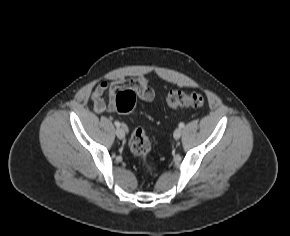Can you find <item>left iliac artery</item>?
<instances>
[{"mask_svg":"<svg viewBox=\"0 0 290 236\" xmlns=\"http://www.w3.org/2000/svg\"><path fill=\"white\" fill-rule=\"evenodd\" d=\"M179 127H180V128H183V127H184V123H180V124H179Z\"/></svg>","mask_w":290,"mask_h":236,"instance_id":"1","label":"left iliac artery"}]
</instances>
